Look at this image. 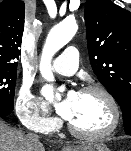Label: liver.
<instances>
[{
  "mask_svg": "<svg viewBox=\"0 0 131 151\" xmlns=\"http://www.w3.org/2000/svg\"><path fill=\"white\" fill-rule=\"evenodd\" d=\"M0 151H45L43 144L0 121Z\"/></svg>",
  "mask_w": 131,
  "mask_h": 151,
  "instance_id": "obj_1",
  "label": "liver"
}]
</instances>
